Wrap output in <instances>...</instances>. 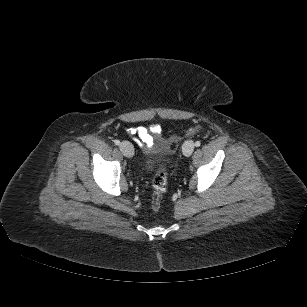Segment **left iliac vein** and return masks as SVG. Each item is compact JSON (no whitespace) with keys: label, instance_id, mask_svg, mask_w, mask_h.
<instances>
[{"label":"left iliac vein","instance_id":"left-iliac-vein-1","mask_svg":"<svg viewBox=\"0 0 307 307\" xmlns=\"http://www.w3.org/2000/svg\"><path fill=\"white\" fill-rule=\"evenodd\" d=\"M194 147H195V144L192 140H187L184 144H183V154L186 156V157H189L191 156V154L193 153L194 151Z\"/></svg>","mask_w":307,"mask_h":307}]
</instances>
